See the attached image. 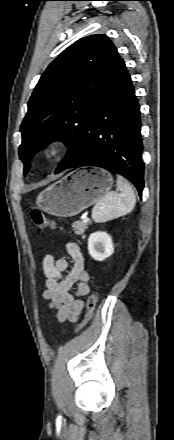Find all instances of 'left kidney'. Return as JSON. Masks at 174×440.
<instances>
[{
    "instance_id": "obj_1",
    "label": "left kidney",
    "mask_w": 174,
    "mask_h": 440,
    "mask_svg": "<svg viewBox=\"0 0 174 440\" xmlns=\"http://www.w3.org/2000/svg\"><path fill=\"white\" fill-rule=\"evenodd\" d=\"M88 251L94 260H105L114 252L111 236L100 231L92 233L88 239Z\"/></svg>"
}]
</instances>
